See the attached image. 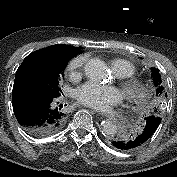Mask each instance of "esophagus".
Wrapping results in <instances>:
<instances>
[{
  "mask_svg": "<svg viewBox=\"0 0 177 177\" xmlns=\"http://www.w3.org/2000/svg\"><path fill=\"white\" fill-rule=\"evenodd\" d=\"M100 117H101L102 119H104V120H107V119L109 118V115H108L107 113H105V112H102V113L100 114Z\"/></svg>",
  "mask_w": 177,
  "mask_h": 177,
  "instance_id": "esophagus-1",
  "label": "esophagus"
}]
</instances>
